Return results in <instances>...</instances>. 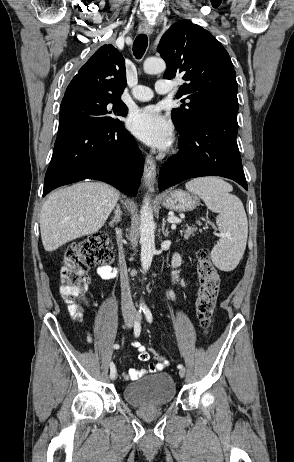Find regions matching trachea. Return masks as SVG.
Listing matches in <instances>:
<instances>
[{
  "label": "trachea",
  "mask_w": 294,
  "mask_h": 462,
  "mask_svg": "<svg viewBox=\"0 0 294 462\" xmlns=\"http://www.w3.org/2000/svg\"><path fill=\"white\" fill-rule=\"evenodd\" d=\"M148 38L144 34H140L136 37L133 44V53L137 59H140L147 48Z\"/></svg>",
  "instance_id": "1"
}]
</instances>
